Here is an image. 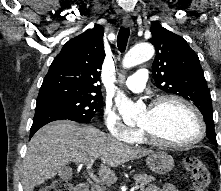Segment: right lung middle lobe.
<instances>
[{
  "label": "right lung middle lobe",
  "mask_w": 221,
  "mask_h": 191,
  "mask_svg": "<svg viewBox=\"0 0 221 191\" xmlns=\"http://www.w3.org/2000/svg\"><path fill=\"white\" fill-rule=\"evenodd\" d=\"M37 104H46L58 110L69 120L88 123L103 106V98L95 96L60 97L37 101Z\"/></svg>",
  "instance_id": "dd1d6c3e"
}]
</instances>
